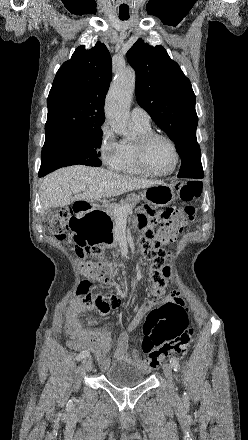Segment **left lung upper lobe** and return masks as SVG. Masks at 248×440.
Instances as JSON below:
<instances>
[{"mask_svg":"<svg viewBox=\"0 0 248 440\" xmlns=\"http://www.w3.org/2000/svg\"><path fill=\"white\" fill-rule=\"evenodd\" d=\"M127 57L136 71L138 104L176 144L182 160L178 177L203 178L195 95L189 79L160 45L138 40Z\"/></svg>","mask_w":248,"mask_h":440,"instance_id":"5c2ea615","label":"left lung upper lobe"}]
</instances>
